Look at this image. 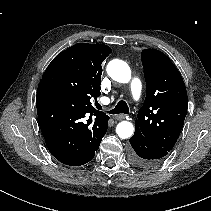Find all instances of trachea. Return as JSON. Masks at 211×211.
I'll return each instance as SVG.
<instances>
[{
  "mask_svg": "<svg viewBox=\"0 0 211 211\" xmlns=\"http://www.w3.org/2000/svg\"><path fill=\"white\" fill-rule=\"evenodd\" d=\"M95 106L98 110H102V106L96 102ZM109 114H129V107L127 105V103L124 100H121L118 102V104L115 106L114 109L108 111Z\"/></svg>",
  "mask_w": 211,
  "mask_h": 211,
  "instance_id": "3493384b",
  "label": "trachea"
}]
</instances>
